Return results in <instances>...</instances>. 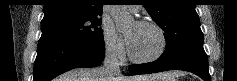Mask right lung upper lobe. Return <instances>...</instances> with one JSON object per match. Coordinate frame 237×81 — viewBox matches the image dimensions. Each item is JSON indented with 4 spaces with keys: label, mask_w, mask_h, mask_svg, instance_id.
Listing matches in <instances>:
<instances>
[{
    "label": "right lung upper lobe",
    "mask_w": 237,
    "mask_h": 81,
    "mask_svg": "<svg viewBox=\"0 0 237 81\" xmlns=\"http://www.w3.org/2000/svg\"><path fill=\"white\" fill-rule=\"evenodd\" d=\"M104 0H46L44 18L61 15L97 16L102 13Z\"/></svg>",
    "instance_id": "cb5924a9"
}]
</instances>
